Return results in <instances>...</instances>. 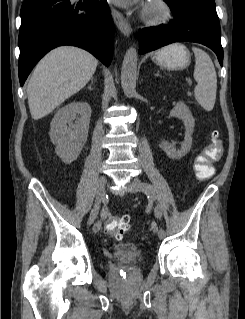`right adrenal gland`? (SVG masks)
Wrapping results in <instances>:
<instances>
[{
	"instance_id": "2a0ac1e0",
	"label": "right adrenal gland",
	"mask_w": 245,
	"mask_h": 319,
	"mask_svg": "<svg viewBox=\"0 0 245 319\" xmlns=\"http://www.w3.org/2000/svg\"><path fill=\"white\" fill-rule=\"evenodd\" d=\"M92 85H93V78L91 79V83H90V85L88 86V89L89 90H92L93 88H92Z\"/></svg>"
}]
</instances>
